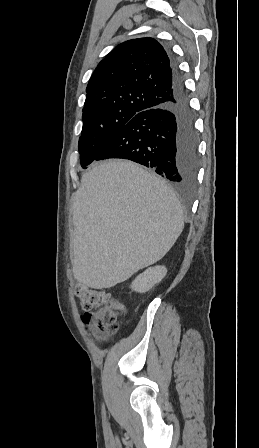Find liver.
Listing matches in <instances>:
<instances>
[{
    "instance_id": "6515ba94",
    "label": "liver",
    "mask_w": 259,
    "mask_h": 448,
    "mask_svg": "<svg viewBox=\"0 0 259 448\" xmlns=\"http://www.w3.org/2000/svg\"><path fill=\"white\" fill-rule=\"evenodd\" d=\"M73 196L77 282L103 290L161 260L183 228L173 190L129 160H106L83 174Z\"/></svg>"
}]
</instances>
